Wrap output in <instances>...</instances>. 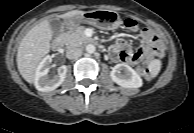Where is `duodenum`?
<instances>
[{
	"mask_svg": "<svg viewBox=\"0 0 194 133\" xmlns=\"http://www.w3.org/2000/svg\"><path fill=\"white\" fill-rule=\"evenodd\" d=\"M74 26L73 23H66L63 25L61 33L59 36H57L53 41H52V48L54 50H59L62 48L64 44V36L65 34ZM89 43L92 44H97L96 42L89 40Z\"/></svg>",
	"mask_w": 194,
	"mask_h": 133,
	"instance_id": "410a0bca",
	"label": "duodenum"
}]
</instances>
